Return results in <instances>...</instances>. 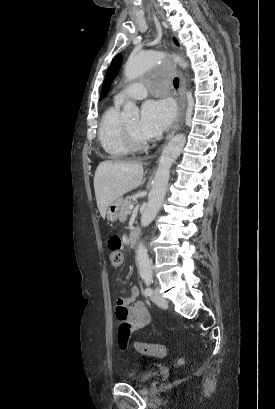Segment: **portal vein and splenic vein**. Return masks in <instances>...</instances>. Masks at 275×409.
<instances>
[{"label": "portal vein and splenic vein", "instance_id": "1", "mask_svg": "<svg viewBox=\"0 0 275 409\" xmlns=\"http://www.w3.org/2000/svg\"><path fill=\"white\" fill-rule=\"evenodd\" d=\"M129 209H133V205H129Z\"/></svg>", "mask_w": 275, "mask_h": 409}]
</instances>
